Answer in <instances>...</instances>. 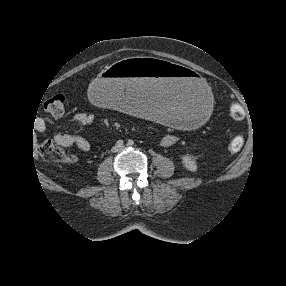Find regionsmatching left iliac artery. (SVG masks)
Returning a JSON list of instances; mask_svg holds the SVG:
<instances>
[{
	"instance_id": "obj_1",
	"label": "left iliac artery",
	"mask_w": 286,
	"mask_h": 286,
	"mask_svg": "<svg viewBox=\"0 0 286 286\" xmlns=\"http://www.w3.org/2000/svg\"><path fill=\"white\" fill-rule=\"evenodd\" d=\"M129 146H132L134 144V141L133 140H128V143H127Z\"/></svg>"
}]
</instances>
